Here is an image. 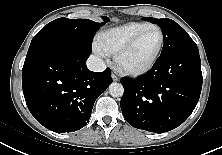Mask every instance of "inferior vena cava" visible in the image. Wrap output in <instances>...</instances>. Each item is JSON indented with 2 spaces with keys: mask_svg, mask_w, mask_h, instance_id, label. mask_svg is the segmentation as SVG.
Returning a JSON list of instances; mask_svg holds the SVG:
<instances>
[{
  "mask_svg": "<svg viewBox=\"0 0 222 155\" xmlns=\"http://www.w3.org/2000/svg\"><path fill=\"white\" fill-rule=\"evenodd\" d=\"M87 67L91 71L102 72L106 69V64L101 58L91 55L87 60Z\"/></svg>",
  "mask_w": 222,
  "mask_h": 155,
  "instance_id": "1",
  "label": "inferior vena cava"
}]
</instances>
